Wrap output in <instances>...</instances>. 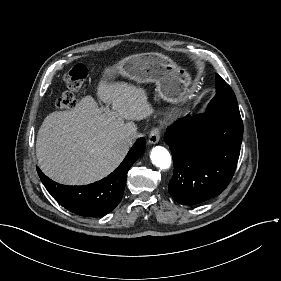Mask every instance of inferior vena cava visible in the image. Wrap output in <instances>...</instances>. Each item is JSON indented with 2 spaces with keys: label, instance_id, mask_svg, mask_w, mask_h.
I'll list each match as a JSON object with an SVG mask.
<instances>
[{
  "label": "inferior vena cava",
  "instance_id": "602c4592",
  "mask_svg": "<svg viewBox=\"0 0 281 281\" xmlns=\"http://www.w3.org/2000/svg\"><path fill=\"white\" fill-rule=\"evenodd\" d=\"M138 136L137 134H123L120 136V139L125 141L127 144L132 145L136 140Z\"/></svg>",
  "mask_w": 281,
  "mask_h": 281
}]
</instances>
